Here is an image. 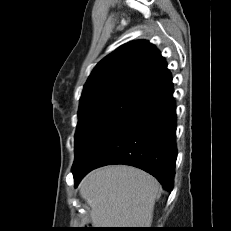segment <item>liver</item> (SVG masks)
<instances>
[{"instance_id":"liver-1","label":"liver","mask_w":231,"mask_h":231,"mask_svg":"<svg viewBox=\"0 0 231 231\" xmlns=\"http://www.w3.org/2000/svg\"><path fill=\"white\" fill-rule=\"evenodd\" d=\"M79 192L95 228H148L160 185L142 170L116 165L90 172Z\"/></svg>"}]
</instances>
